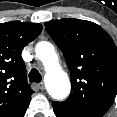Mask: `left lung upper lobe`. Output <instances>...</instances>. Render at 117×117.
Masks as SVG:
<instances>
[{"mask_svg": "<svg viewBox=\"0 0 117 117\" xmlns=\"http://www.w3.org/2000/svg\"><path fill=\"white\" fill-rule=\"evenodd\" d=\"M71 73L72 92L54 104L85 117H102L117 94V48L99 25L78 19L45 23Z\"/></svg>", "mask_w": 117, "mask_h": 117, "instance_id": "1", "label": "left lung upper lobe"}]
</instances>
